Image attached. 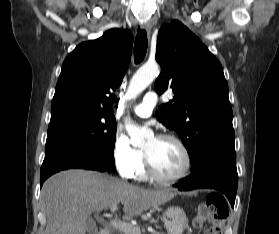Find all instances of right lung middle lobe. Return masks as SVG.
I'll return each mask as SVG.
<instances>
[{"mask_svg": "<svg viewBox=\"0 0 279 234\" xmlns=\"http://www.w3.org/2000/svg\"><path fill=\"white\" fill-rule=\"evenodd\" d=\"M116 120L113 114L83 109L51 112L45 157L64 149H78L115 171L113 151Z\"/></svg>", "mask_w": 279, "mask_h": 234, "instance_id": "1", "label": "right lung middle lobe"}]
</instances>
